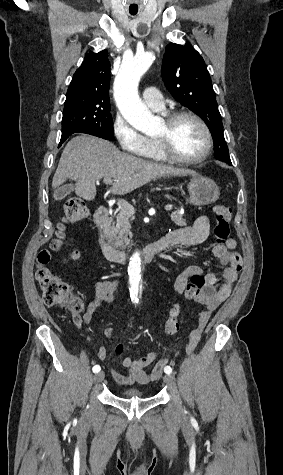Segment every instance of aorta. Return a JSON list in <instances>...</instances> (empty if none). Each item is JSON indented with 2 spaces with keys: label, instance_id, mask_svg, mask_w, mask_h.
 I'll return each mask as SVG.
<instances>
[{
  "label": "aorta",
  "instance_id": "obj_1",
  "mask_svg": "<svg viewBox=\"0 0 283 475\" xmlns=\"http://www.w3.org/2000/svg\"><path fill=\"white\" fill-rule=\"evenodd\" d=\"M152 52L137 53L124 59L114 81V97L122 116L137 130L147 134H156L161 121L144 105L138 95V84L153 60ZM144 266L139 250H136L128 266L130 297L134 304L141 300Z\"/></svg>",
  "mask_w": 283,
  "mask_h": 475
}]
</instances>
